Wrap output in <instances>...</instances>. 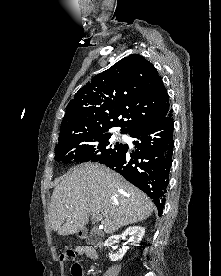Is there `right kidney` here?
Segmentation results:
<instances>
[{"label": "right kidney", "mask_w": 221, "mask_h": 276, "mask_svg": "<svg viewBox=\"0 0 221 276\" xmlns=\"http://www.w3.org/2000/svg\"><path fill=\"white\" fill-rule=\"evenodd\" d=\"M145 233V229L140 226H133L127 228L121 235L118 236H111L105 241V246H112L115 243H118L119 239L125 238L129 236V242H132L134 246H137L140 241L142 240ZM128 246H124L119 253L116 254H109V258L111 261H117L123 258L126 251L128 250Z\"/></svg>", "instance_id": "1"}]
</instances>
